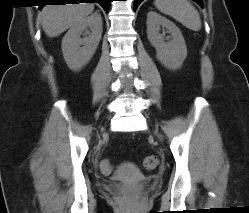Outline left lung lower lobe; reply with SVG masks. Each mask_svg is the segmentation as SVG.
I'll use <instances>...</instances> for the list:
<instances>
[{"mask_svg": "<svg viewBox=\"0 0 249 213\" xmlns=\"http://www.w3.org/2000/svg\"><path fill=\"white\" fill-rule=\"evenodd\" d=\"M141 1H143V0H135L134 1V11H136V9H137V7H138V5L140 4ZM194 1H196L198 4H200V6H203L202 5V0H194Z\"/></svg>", "mask_w": 249, "mask_h": 213, "instance_id": "left-lung-lower-lobe-1", "label": "left lung lower lobe"}]
</instances>
